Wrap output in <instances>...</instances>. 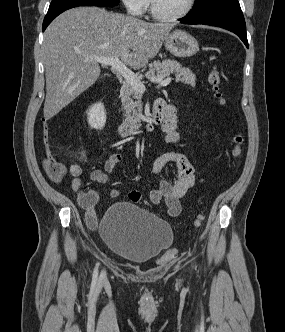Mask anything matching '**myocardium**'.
Listing matches in <instances>:
<instances>
[{
  "label": "myocardium",
  "instance_id": "myocardium-1",
  "mask_svg": "<svg viewBox=\"0 0 285 332\" xmlns=\"http://www.w3.org/2000/svg\"><path fill=\"white\" fill-rule=\"evenodd\" d=\"M195 4H196V0H189L187 7L179 14L164 15V14H161L157 10L155 1L150 0V13H151L152 17L155 18L156 20L164 21V22H174V21H178V20H181L184 17H186L193 10Z\"/></svg>",
  "mask_w": 285,
  "mask_h": 332
}]
</instances>
